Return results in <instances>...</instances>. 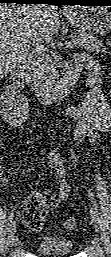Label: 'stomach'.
Masks as SVG:
<instances>
[{
  "instance_id": "stomach-1",
  "label": "stomach",
  "mask_w": 111,
  "mask_h": 257,
  "mask_svg": "<svg viewBox=\"0 0 111 257\" xmlns=\"http://www.w3.org/2000/svg\"><path fill=\"white\" fill-rule=\"evenodd\" d=\"M83 13V15L77 17L78 13L74 12L69 17L75 24L83 26L90 32L103 33L108 29V27L111 28V23L109 22L107 11L102 7L89 9V12L84 9ZM92 13H94V15H92Z\"/></svg>"
}]
</instances>
